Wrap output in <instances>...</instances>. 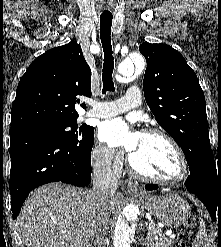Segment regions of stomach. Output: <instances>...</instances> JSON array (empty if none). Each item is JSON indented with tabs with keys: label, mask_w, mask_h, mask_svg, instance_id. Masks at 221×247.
I'll list each match as a JSON object with an SVG mask.
<instances>
[{
	"label": "stomach",
	"mask_w": 221,
	"mask_h": 247,
	"mask_svg": "<svg viewBox=\"0 0 221 247\" xmlns=\"http://www.w3.org/2000/svg\"><path fill=\"white\" fill-rule=\"evenodd\" d=\"M147 210L164 225L176 228L182 225L190 216L188 203L174 193L162 196L138 195Z\"/></svg>",
	"instance_id": "1"
}]
</instances>
